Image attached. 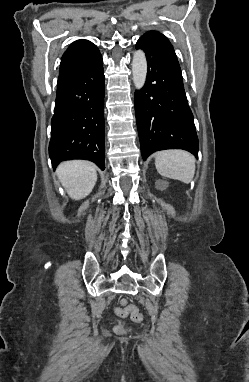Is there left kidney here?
<instances>
[{
    "label": "left kidney",
    "mask_w": 249,
    "mask_h": 382,
    "mask_svg": "<svg viewBox=\"0 0 249 382\" xmlns=\"http://www.w3.org/2000/svg\"><path fill=\"white\" fill-rule=\"evenodd\" d=\"M168 187V183L163 180L156 181V188L160 190H165Z\"/></svg>",
    "instance_id": "1"
}]
</instances>
